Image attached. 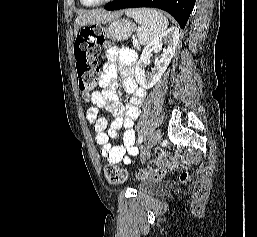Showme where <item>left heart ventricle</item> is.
Wrapping results in <instances>:
<instances>
[{
	"label": "left heart ventricle",
	"mask_w": 257,
	"mask_h": 237,
	"mask_svg": "<svg viewBox=\"0 0 257 237\" xmlns=\"http://www.w3.org/2000/svg\"><path fill=\"white\" fill-rule=\"evenodd\" d=\"M87 3H95V2H99L101 0H84Z\"/></svg>",
	"instance_id": "left-heart-ventricle-1"
}]
</instances>
